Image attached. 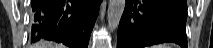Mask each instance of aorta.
I'll return each instance as SVG.
<instances>
[{
  "label": "aorta",
  "instance_id": "762f6f07",
  "mask_svg": "<svg viewBox=\"0 0 213 48\" xmlns=\"http://www.w3.org/2000/svg\"><path fill=\"white\" fill-rule=\"evenodd\" d=\"M125 2V0H109L107 24L110 31H115L118 28L120 19L124 12Z\"/></svg>",
  "mask_w": 213,
  "mask_h": 48
}]
</instances>
